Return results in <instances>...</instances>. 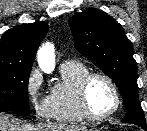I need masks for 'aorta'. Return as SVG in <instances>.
Here are the masks:
<instances>
[{
    "label": "aorta",
    "mask_w": 147,
    "mask_h": 131,
    "mask_svg": "<svg viewBox=\"0 0 147 131\" xmlns=\"http://www.w3.org/2000/svg\"><path fill=\"white\" fill-rule=\"evenodd\" d=\"M38 63L44 72L50 73L53 71L55 67V55L52 45L45 44L40 48L38 52Z\"/></svg>",
    "instance_id": "1"
}]
</instances>
